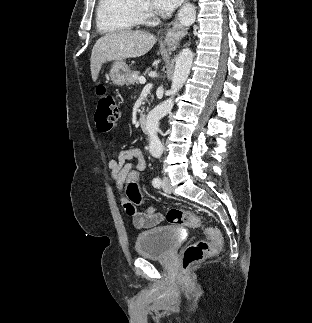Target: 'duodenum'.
I'll return each mask as SVG.
<instances>
[{"label":"duodenum","instance_id":"duodenum-1","mask_svg":"<svg viewBox=\"0 0 312 323\" xmlns=\"http://www.w3.org/2000/svg\"><path fill=\"white\" fill-rule=\"evenodd\" d=\"M138 124L139 127L142 131H147L148 130V126H147V118L146 115L144 114H140L138 117Z\"/></svg>","mask_w":312,"mask_h":323}]
</instances>
